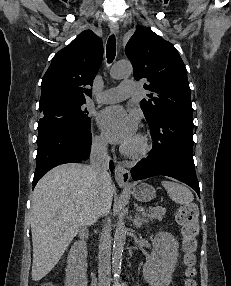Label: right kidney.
<instances>
[{"instance_id":"ca27d5eb","label":"right kidney","mask_w":231,"mask_h":286,"mask_svg":"<svg viewBox=\"0 0 231 286\" xmlns=\"http://www.w3.org/2000/svg\"><path fill=\"white\" fill-rule=\"evenodd\" d=\"M82 242H76L70 249L67 259L66 280L64 286H87V259L83 254Z\"/></svg>"}]
</instances>
